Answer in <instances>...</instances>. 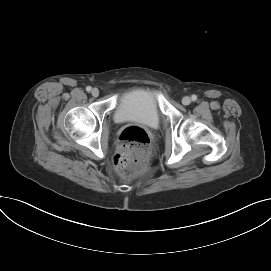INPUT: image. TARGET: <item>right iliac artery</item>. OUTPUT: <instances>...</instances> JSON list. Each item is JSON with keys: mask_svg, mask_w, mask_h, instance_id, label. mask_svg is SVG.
I'll use <instances>...</instances> for the list:
<instances>
[{"mask_svg": "<svg viewBox=\"0 0 271 271\" xmlns=\"http://www.w3.org/2000/svg\"><path fill=\"white\" fill-rule=\"evenodd\" d=\"M91 89H92V88H91L90 86H87V87H86V91H88V92H90Z\"/></svg>", "mask_w": 271, "mask_h": 271, "instance_id": "1", "label": "right iliac artery"}]
</instances>
